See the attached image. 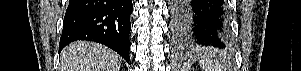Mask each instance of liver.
<instances>
[{"label": "liver", "instance_id": "1", "mask_svg": "<svg viewBox=\"0 0 301 71\" xmlns=\"http://www.w3.org/2000/svg\"><path fill=\"white\" fill-rule=\"evenodd\" d=\"M121 57L94 42L77 41L61 52L60 71H119Z\"/></svg>", "mask_w": 301, "mask_h": 71}]
</instances>
